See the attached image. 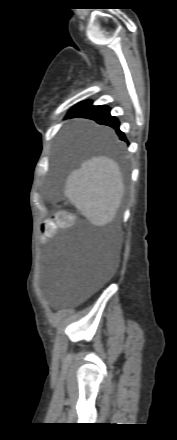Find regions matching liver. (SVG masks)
<instances>
[{
  "label": "liver",
  "mask_w": 177,
  "mask_h": 440,
  "mask_svg": "<svg viewBox=\"0 0 177 440\" xmlns=\"http://www.w3.org/2000/svg\"><path fill=\"white\" fill-rule=\"evenodd\" d=\"M125 192L117 162L106 156L83 161L66 180L64 195L95 226L116 217Z\"/></svg>",
  "instance_id": "6515ba94"
}]
</instances>
